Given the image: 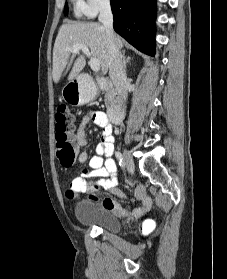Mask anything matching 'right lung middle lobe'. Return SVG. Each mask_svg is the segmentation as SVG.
<instances>
[{
	"label": "right lung middle lobe",
	"mask_w": 227,
	"mask_h": 279,
	"mask_svg": "<svg viewBox=\"0 0 227 279\" xmlns=\"http://www.w3.org/2000/svg\"><path fill=\"white\" fill-rule=\"evenodd\" d=\"M64 15H68V4L67 3L65 4V7H64Z\"/></svg>",
	"instance_id": "dd1d6c3e"
}]
</instances>
